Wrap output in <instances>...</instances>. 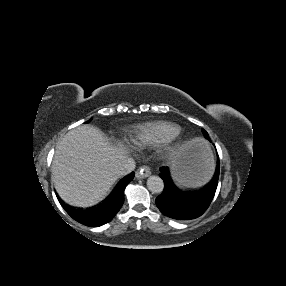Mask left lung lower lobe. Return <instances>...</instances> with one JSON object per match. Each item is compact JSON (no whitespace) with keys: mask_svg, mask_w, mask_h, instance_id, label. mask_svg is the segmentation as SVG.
Masks as SVG:
<instances>
[{"mask_svg":"<svg viewBox=\"0 0 286 286\" xmlns=\"http://www.w3.org/2000/svg\"><path fill=\"white\" fill-rule=\"evenodd\" d=\"M160 171V177L164 180V190L156 198V205L164 215L177 220H189L201 216L206 211L218 185L219 158L213 180L200 190H180L174 185L168 167L163 166Z\"/></svg>","mask_w":286,"mask_h":286,"instance_id":"obj_1","label":"left lung lower lobe"}]
</instances>
